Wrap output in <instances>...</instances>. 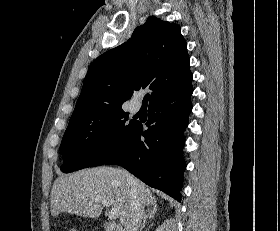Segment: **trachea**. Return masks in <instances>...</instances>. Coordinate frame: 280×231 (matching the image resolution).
<instances>
[{"label": "trachea", "instance_id": "trachea-1", "mask_svg": "<svg viewBox=\"0 0 280 231\" xmlns=\"http://www.w3.org/2000/svg\"><path fill=\"white\" fill-rule=\"evenodd\" d=\"M149 98H150V95H149V94H147V95L144 96L143 102H142V106L147 105V102H148Z\"/></svg>", "mask_w": 280, "mask_h": 231}]
</instances>
